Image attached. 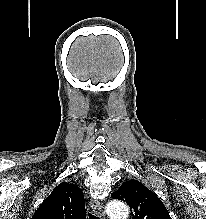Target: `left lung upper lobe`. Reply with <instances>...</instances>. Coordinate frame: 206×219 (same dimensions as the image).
<instances>
[{
  "label": "left lung upper lobe",
  "instance_id": "left-lung-upper-lobe-1",
  "mask_svg": "<svg viewBox=\"0 0 206 219\" xmlns=\"http://www.w3.org/2000/svg\"><path fill=\"white\" fill-rule=\"evenodd\" d=\"M111 197L125 201L131 208L133 219H170L157 195L137 180L125 182Z\"/></svg>",
  "mask_w": 206,
  "mask_h": 219
}]
</instances>
